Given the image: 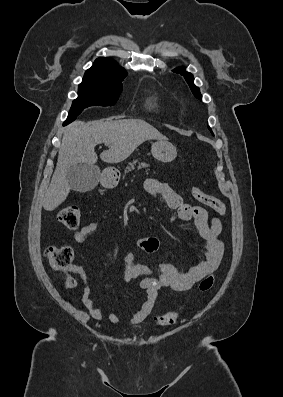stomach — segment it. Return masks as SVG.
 <instances>
[{"label":"stomach","mask_w":283,"mask_h":397,"mask_svg":"<svg viewBox=\"0 0 283 397\" xmlns=\"http://www.w3.org/2000/svg\"><path fill=\"white\" fill-rule=\"evenodd\" d=\"M152 156L161 162H171L177 156L176 147L167 140H158L151 146ZM99 181L102 186L111 188L117 183V173L113 168H106L99 174Z\"/></svg>","instance_id":"1"}]
</instances>
